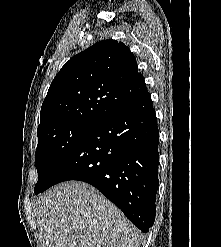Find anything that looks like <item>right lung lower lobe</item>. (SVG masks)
<instances>
[{"label":"right lung lower lobe","instance_id":"98d812e1","mask_svg":"<svg viewBox=\"0 0 221 247\" xmlns=\"http://www.w3.org/2000/svg\"><path fill=\"white\" fill-rule=\"evenodd\" d=\"M158 142L156 114L147 92L96 124L41 192L62 181L87 182L148 232L156 213Z\"/></svg>","mask_w":221,"mask_h":247}]
</instances>
